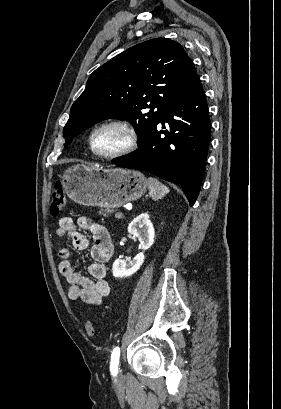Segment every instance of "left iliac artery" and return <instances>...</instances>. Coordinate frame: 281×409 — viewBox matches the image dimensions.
Instances as JSON below:
<instances>
[{"instance_id": "44dca946", "label": "left iliac artery", "mask_w": 281, "mask_h": 409, "mask_svg": "<svg viewBox=\"0 0 281 409\" xmlns=\"http://www.w3.org/2000/svg\"><path fill=\"white\" fill-rule=\"evenodd\" d=\"M120 348L115 347L111 354V364L110 371L113 375L118 373V364H119Z\"/></svg>"}]
</instances>
